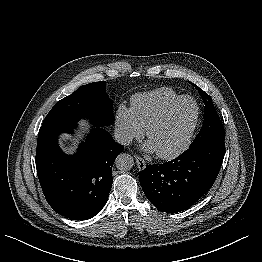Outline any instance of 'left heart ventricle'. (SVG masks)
<instances>
[{"instance_id":"left-heart-ventricle-1","label":"left heart ventricle","mask_w":262,"mask_h":262,"mask_svg":"<svg viewBox=\"0 0 262 262\" xmlns=\"http://www.w3.org/2000/svg\"><path fill=\"white\" fill-rule=\"evenodd\" d=\"M196 113V107L190 100L182 102L169 115L166 121L156 128L150 141L157 152H170L184 140Z\"/></svg>"}]
</instances>
